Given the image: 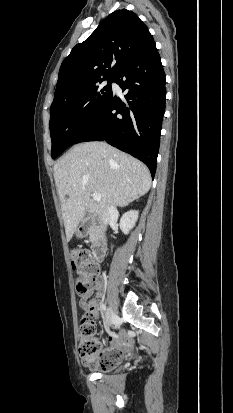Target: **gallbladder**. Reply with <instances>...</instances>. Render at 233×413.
Segmentation results:
<instances>
[{"label":"gallbladder","mask_w":233,"mask_h":413,"mask_svg":"<svg viewBox=\"0 0 233 413\" xmlns=\"http://www.w3.org/2000/svg\"><path fill=\"white\" fill-rule=\"evenodd\" d=\"M86 220H87V217H85L83 221H86Z\"/></svg>","instance_id":"obj_1"}]
</instances>
